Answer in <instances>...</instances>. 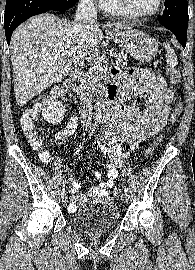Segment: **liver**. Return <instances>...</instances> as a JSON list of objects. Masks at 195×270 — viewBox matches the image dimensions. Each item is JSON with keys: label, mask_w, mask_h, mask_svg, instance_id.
<instances>
[{"label": "liver", "mask_w": 195, "mask_h": 270, "mask_svg": "<svg viewBox=\"0 0 195 270\" xmlns=\"http://www.w3.org/2000/svg\"><path fill=\"white\" fill-rule=\"evenodd\" d=\"M74 26L75 22L45 13L30 18L14 31L11 62L18 105H25L69 74L80 46V36ZM117 27L130 29L122 23H117ZM102 37L97 24L90 27L84 38L87 49L96 47Z\"/></svg>", "instance_id": "1"}]
</instances>
